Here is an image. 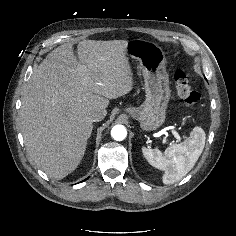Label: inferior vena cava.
I'll return each instance as SVG.
<instances>
[{
	"mask_svg": "<svg viewBox=\"0 0 236 236\" xmlns=\"http://www.w3.org/2000/svg\"><path fill=\"white\" fill-rule=\"evenodd\" d=\"M106 114H107V112L105 109L95 108L92 111H90L89 118L92 122H98V121H101L102 119H104Z\"/></svg>",
	"mask_w": 236,
	"mask_h": 236,
	"instance_id": "obj_1",
	"label": "inferior vena cava"
}]
</instances>
